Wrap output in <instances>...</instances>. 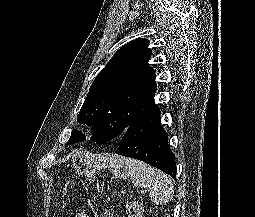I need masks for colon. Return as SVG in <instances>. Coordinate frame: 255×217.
I'll use <instances>...</instances> for the list:
<instances>
[{"label":"colon","mask_w":255,"mask_h":217,"mask_svg":"<svg viewBox=\"0 0 255 217\" xmlns=\"http://www.w3.org/2000/svg\"><path fill=\"white\" fill-rule=\"evenodd\" d=\"M126 210L127 217H143V206L139 201L129 202Z\"/></svg>","instance_id":"1"}]
</instances>
